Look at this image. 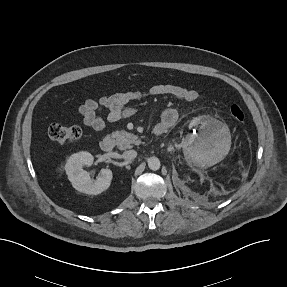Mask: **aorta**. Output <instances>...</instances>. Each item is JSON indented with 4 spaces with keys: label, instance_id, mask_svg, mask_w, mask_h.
<instances>
[{
    "label": "aorta",
    "instance_id": "762f6f07",
    "mask_svg": "<svg viewBox=\"0 0 287 287\" xmlns=\"http://www.w3.org/2000/svg\"><path fill=\"white\" fill-rule=\"evenodd\" d=\"M160 166H161V163L157 157H150L148 159V167L151 170H153V171L159 170Z\"/></svg>",
    "mask_w": 287,
    "mask_h": 287
}]
</instances>
